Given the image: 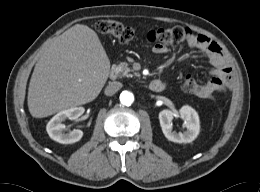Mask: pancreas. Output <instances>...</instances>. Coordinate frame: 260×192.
<instances>
[{"mask_svg": "<svg viewBox=\"0 0 260 192\" xmlns=\"http://www.w3.org/2000/svg\"><path fill=\"white\" fill-rule=\"evenodd\" d=\"M118 68L120 70L119 76L120 77H130L131 74L129 73L130 71H132L129 67H128V63L126 62H122L120 64H118Z\"/></svg>", "mask_w": 260, "mask_h": 192, "instance_id": "pancreas-1", "label": "pancreas"}]
</instances>
